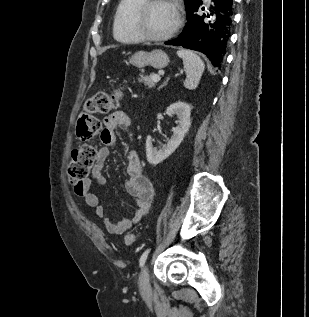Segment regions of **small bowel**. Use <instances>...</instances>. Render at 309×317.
Masks as SVG:
<instances>
[{"label": "small bowel", "instance_id": "c3829d8e", "mask_svg": "<svg viewBox=\"0 0 309 317\" xmlns=\"http://www.w3.org/2000/svg\"><path fill=\"white\" fill-rule=\"evenodd\" d=\"M130 118L123 111H116L104 119V129L100 134L102 147L98 150L97 159L90 171V176L75 186V194L82 198L85 204L94 209L96 217L103 219L105 229L112 235H119L139 222L148 213L154 197V189L151 181L143 174L142 165L138 153L129 151L127 155L125 180L126 192L134 198L135 211L133 215L124 217L115 222L105 217L104 207L97 194L91 191L93 182L105 185L103 165L110 154V150L117 146L116 130L119 127H128Z\"/></svg>", "mask_w": 309, "mask_h": 317}]
</instances>
